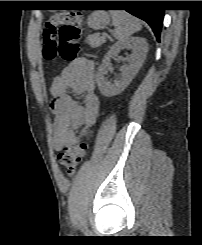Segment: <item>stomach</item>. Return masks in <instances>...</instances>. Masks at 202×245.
Returning <instances> with one entry per match:
<instances>
[{
    "instance_id": "0dacf381",
    "label": "stomach",
    "mask_w": 202,
    "mask_h": 245,
    "mask_svg": "<svg viewBox=\"0 0 202 245\" xmlns=\"http://www.w3.org/2000/svg\"><path fill=\"white\" fill-rule=\"evenodd\" d=\"M109 15L105 11H94L87 19V24L93 29H103L109 24Z\"/></svg>"
}]
</instances>
